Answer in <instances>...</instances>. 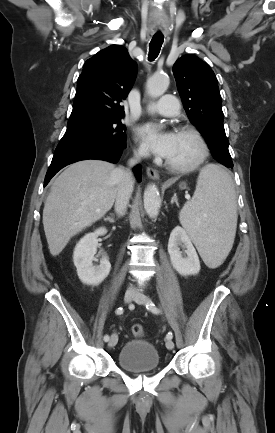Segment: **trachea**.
Returning <instances> with one entry per match:
<instances>
[{
    "label": "trachea",
    "instance_id": "1",
    "mask_svg": "<svg viewBox=\"0 0 275 433\" xmlns=\"http://www.w3.org/2000/svg\"><path fill=\"white\" fill-rule=\"evenodd\" d=\"M164 37L162 35H154L149 44V60L153 61L159 55Z\"/></svg>",
    "mask_w": 275,
    "mask_h": 433
}]
</instances>
